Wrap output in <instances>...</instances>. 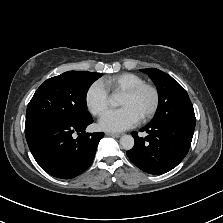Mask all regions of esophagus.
<instances>
[{
	"label": "esophagus",
	"mask_w": 223,
	"mask_h": 223,
	"mask_svg": "<svg viewBox=\"0 0 223 223\" xmlns=\"http://www.w3.org/2000/svg\"><path fill=\"white\" fill-rule=\"evenodd\" d=\"M106 135L107 136H110V137H115V138H119L121 136V134H118V133H109V132H107Z\"/></svg>",
	"instance_id": "obj_1"
}]
</instances>
